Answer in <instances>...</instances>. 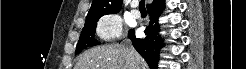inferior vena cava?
I'll list each match as a JSON object with an SVG mask.
<instances>
[{"label":"inferior vena cava","instance_id":"obj_1","mask_svg":"<svg viewBox=\"0 0 246 69\" xmlns=\"http://www.w3.org/2000/svg\"><path fill=\"white\" fill-rule=\"evenodd\" d=\"M126 47H129L130 49H133L132 46H128V45H127ZM135 69H139L138 65H136Z\"/></svg>","mask_w":246,"mask_h":69}]
</instances>
